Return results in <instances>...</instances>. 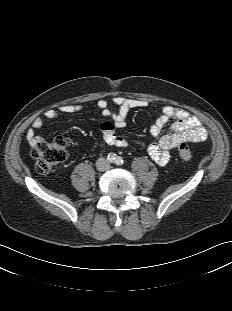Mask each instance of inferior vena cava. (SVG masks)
<instances>
[{
  "label": "inferior vena cava",
  "instance_id": "1",
  "mask_svg": "<svg viewBox=\"0 0 232 311\" xmlns=\"http://www.w3.org/2000/svg\"><path fill=\"white\" fill-rule=\"evenodd\" d=\"M96 168L98 171H107L110 168V163L105 158H99L96 161Z\"/></svg>",
  "mask_w": 232,
  "mask_h": 311
}]
</instances>
